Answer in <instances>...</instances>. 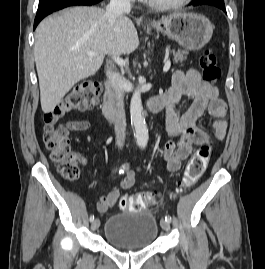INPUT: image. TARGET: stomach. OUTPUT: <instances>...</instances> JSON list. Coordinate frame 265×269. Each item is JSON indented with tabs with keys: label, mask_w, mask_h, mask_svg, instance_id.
Masks as SVG:
<instances>
[{
	"label": "stomach",
	"mask_w": 265,
	"mask_h": 269,
	"mask_svg": "<svg viewBox=\"0 0 265 269\" xmlns=\"http://www.w3.org/2000/svg\"><path fill=\"white\" fill-rule=\"evenodd\" d=\"M151 26L192 51L204 47L211 39L214 29L210 20L201 14L179 12L154 21Z\"/></svg>",
	"instance_id": "obj_1"
}]
</instances>
